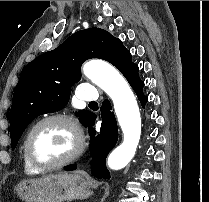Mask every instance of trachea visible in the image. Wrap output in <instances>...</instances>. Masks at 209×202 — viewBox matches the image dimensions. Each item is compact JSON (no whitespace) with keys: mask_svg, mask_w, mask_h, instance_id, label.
<instances>
[{"mask_svg":"<svg viewBox=\"0 0 209 202\" xmlns=\"http://www.w3.org/2000/svg\"><path fill=\"white\" fill-rule=\"evenodd\" d=\"M89 104H97L96 102H90Z\"/></svg>","mask_w":209,"mask_h":202,"instance_id":"1","label":"trachea"}]
</instances>
